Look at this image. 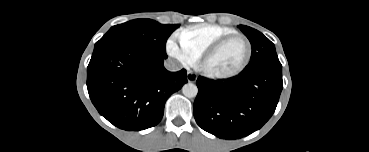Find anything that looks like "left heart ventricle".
Segmentation results:
<instances>
[{
    "instance_id": "1",
    "label": "left heart ventricle",
    "mask_w": 369,
    "mask_h": 152,
    "mask_svg": "<svg viewBox=\"0 0 369 152\" xmlns=\"http://www.w3.org/2000/svg\"><path fill=\"white\" fill-rule=\"evenodd\" d=\"M246 44L242 39L226 43L206 64L216 73H229L240 66L246 56Z\"/></svg>"
}]
</instances>
